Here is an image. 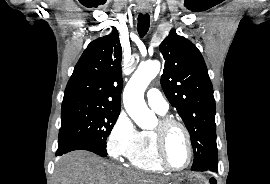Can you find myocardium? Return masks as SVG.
I'll return each mask as SVG.
<instances>
[{"mask_svg":"<svg viewBox=\"0 0 270 184\" xmlns=\"http://www.w3.org/2000/svg\"><path fill=\"white\" fill-rule=\"evenodd\" d=\"M174 127H177L182 130V132L185 135L187 148H188L187 162L182 167H178V168L172 166L168 162L167 157H166V143H167L168 133ZM152 135L155 141V147H156L158 160L165 169L169 171L180 172L187 169L190 166L193 159V144H192L189 130L181 121L173 117H168V116L162 117L158 121L157 127L152 131Z\"/></svg>","mask_w":270,"mask_h":184,"instance_id":"myocardium-1","label":"myocardium"}]
</instances>
